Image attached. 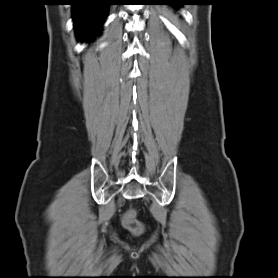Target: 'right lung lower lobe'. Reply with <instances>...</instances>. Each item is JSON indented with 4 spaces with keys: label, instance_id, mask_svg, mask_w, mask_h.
Wrapping results in <instances>:
<instances>
[{
    "label": "right lung lower lobe",
    "instance_id": "1",
    "mask_svg": "<svg viewBox=\"0 0 278 278\" xmlns=\"http://www.w3.org/2000/svg\"><path fill=\"white\" fill-rule=\"evenodd\" d=\"M110 3L108 0H75L72 13L77 36L90 39L104 23Z\"/></svg>",
    "mask_w": 278,
    "mask_h": 278
}]
</instances>
